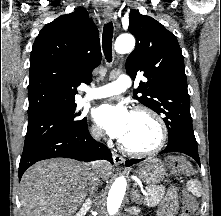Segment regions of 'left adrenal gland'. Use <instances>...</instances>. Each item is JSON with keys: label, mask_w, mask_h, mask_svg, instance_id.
<instances>
[{"label": "left adrenal gland", "mask_w": 221, "mask_h": 216, "mask_svg": "<svg viewBox=\"0 0 221 216\" xmlns=\"http://www.w3.org/2000/svg\"><path fill=\"white\" fill-rule=\"evenodd\" d=\"M136 184L133 185L132 191H131V203L141 204L142 200L140 198V193L138 190L135 189Z\"/></svg>", "instance_id": "left-adrenal-gland-1"}]
</instances>
